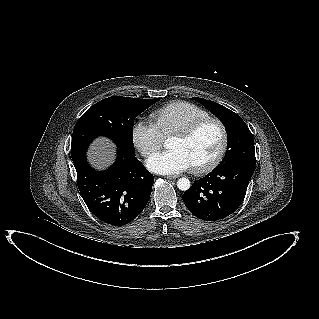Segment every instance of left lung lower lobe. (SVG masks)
Wrapping results in <instances>:
<instances>
[{"label": "left lung lower lobe", "instance_id": "obj_1", "mask_svg": "<svg viewBox=\"0 0 319 319\" xmlns=\"http://www.w3.org/2000/svg\"><path fill=\"white\" fill-rule=\"evenodd\" d=\"M254 170L255 165L246 162L217 166L184 192V204L202 220L224 219L242 204Z\"/></svg>", "mask_w": 319, "mask_h": 319}]
</instances>
